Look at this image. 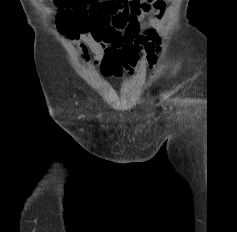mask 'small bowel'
<instances>
[{"mask_svg": "<svg viewBox=\"0 0 237 232\" xmlns=\"http://www.w3.org/2000/svg\"><path fill=\"white\" fill-rule=\"evenodd\" d=\"M146 17V18H145ZM168 12L165 0H146L137 10L124 17L109 19L97 33L69 36L80 43L82 52L94 55L104 76L132 74L140 56L153 67L161 51V29Z\"/></svg>", "mask_w": 237, "mask_h": 232, "instance_id": "1", "label": "small bowel"}]
</instances>
